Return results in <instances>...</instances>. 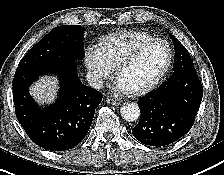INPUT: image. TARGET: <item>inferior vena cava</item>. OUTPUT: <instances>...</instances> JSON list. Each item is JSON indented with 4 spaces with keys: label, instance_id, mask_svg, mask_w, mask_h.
<instances>
[{
    "label": "inferior vena cava",
    "instance_id": "obj_1",
    "mask_svg": "<svg viewBox=\"0 0 224 175\" xmlns=\"http://www.w3.org/2000/svg\"><path fill=\"white\" fill-rule=\"evenodd\" d=\"M86 80L88 84L95 89H101L103 87V80L98 74H94L91 72L87 73Z\"/></svg>",
    "mask_w": 224,
    "mask_h": 175
}]
</instances>
